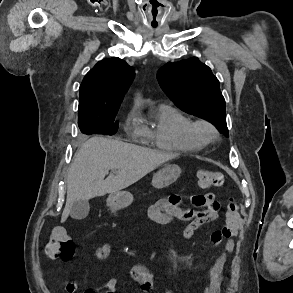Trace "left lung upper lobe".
<instances>
[{"mask_svg": "<svg viewBox=\"0 0 293 293\" xmlns=\"http://www.w3.org/2000/svg\"><path fill=\"white\" fill-rule=\"evenodd\" d=\"M157 79L176 106L211 122L228 137L225 100L208 66L196 57L169 62L158 70Z\"/></svg>", "mask_w": 293, "mask_h": 293, "instance_id": "obj_1", "label": "left lung upper lobe"}]
</instances>
